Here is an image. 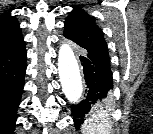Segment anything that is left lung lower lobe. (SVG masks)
Wrapping results in <instances>:
<instances>
[{
	"mask_svg": "<svg viewBox=\"0 0 153 134\" xmlns=\"http://www.w3.org/2000/svg\"><path fill=\"white\" fill-rule=\"evenodd\" d=\"M80 61L85 74L87 90L85 99L79 104L71 106L76 128H79L85 120L84 116L92 106L106 98L113 87L110 61L89 53H86L85 56H80Z\"/></svg>",
	"mask_w": 153,
	"mask_h": 134,
	"instance_id": "left-lung-lower-lobe-1",
	"label": "left lung lower lobe"
}]
</instances>
